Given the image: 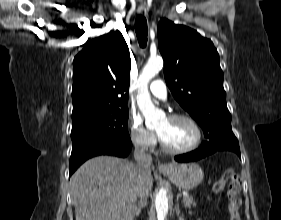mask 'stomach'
Here are the masks:
<instances>
[{
    "instance_id": "obj_1",
    "label": "stomach",
    "mask_w": 281,
    "mask_h": 220,
    "mask_svg": "<svg viewBox=\"0 0 281 220\" xmlns=\"http://www.w3.org/2000/svg\"><path fill=\"white\" fill-rule=\"evenodd\" d=\"M162 174L169 178L177 187L190 190L198 186L203 180L204 173L196 163H171Z\"/></svg>"
}]
</instances>
